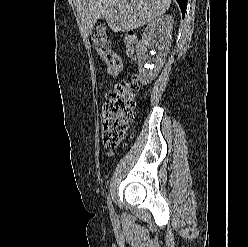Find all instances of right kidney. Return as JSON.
Here are the masks:
<instances>
[{"label": "right kidney", "instance_id": "1", "mask_svg": "<svg viewBox=\"0 0 248 247\" xmlns=\"http://www.w3.org/2000/svg\"><path fill=\"white\" fill-rule=\"evenodd\" d=\"M173 22L171 15H161L149 22L145 28L137 46L139 81L142 84L152 82L165 63L172 41ZM154 45L157 53L155 58L149 59L146 52Z\"/></svg>", "mask_w": 248, "mask_h": 247}]
</instances>
